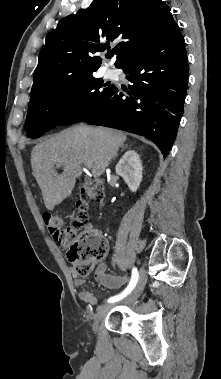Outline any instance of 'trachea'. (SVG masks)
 Listing matches in <instances>:
<instances>
[{
  "label": "trachea",
  "instance_id": "obj_1",
  "mask_svg": "<svg viewBox=\"0 0 221 379\" xmlns=\"http://www.w3.org/2000/svg\"><path fill=\"white\" fill-rule=\"evenodd\" d=\"M112 55H108V58H111Z\"/></svg>",
  "mask_w": 221,
  "mask_h": 379
}]
</instances>
